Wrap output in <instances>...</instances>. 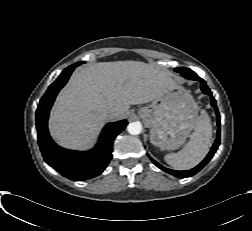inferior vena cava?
I'll use <instances>...</instances> for the list:
<instances>
[{"label": "inferior vena cava", "mask_w": 252, "mask_h": 231, "mask_svg": "<svg viewBox=\"0 0 252 231\" xmlns=\"http://www.w3.org/2000/svg\"><path fill=\"white\" fill-rule=\"evenodd\" d=\"M106 113L108 116H114L116 114V111L114 109H108Z\"/></svg>", "instance_id": "obj_1"}]
</instances>
